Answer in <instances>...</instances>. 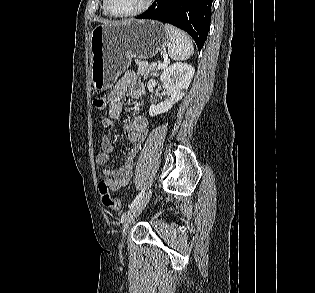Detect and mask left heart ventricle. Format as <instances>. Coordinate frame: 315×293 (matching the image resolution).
<instances>
[{"label":"left heart ventricle","mask_w":315,"mask_h":293,"mask_svg":"<svg viewBox=\"0 0 315 293\" xmlns=\"http://www.w3.org/2000/svg\"><path fill=\"white\" fill-rule=\"evenodd\" d=\"M145 1L146 0H111V6L117 13H129L142 7Z\"/></svg>","instance_id":"obj_1"}]
</instances>
